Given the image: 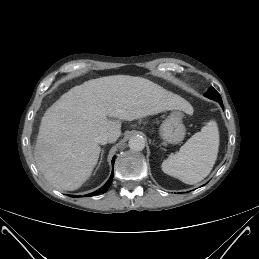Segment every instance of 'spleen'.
<instances>
[{
    "label": "spleen",
    "mask_w": 259,
    "mask_h": 259,
    "mask_svg": "<svg viewBox=\"0 0 259 259\" xmlns=\"http://www.w3.org/2000/svg\"><path fill=\"white\" fill-rule=\"evenodd\" d=\"M219 149V131L216 121H209L180 148L162 162L164 173L186 184L202 181L211 172Z\"/></svg>",
    "instance_id": "3e777b00"
}]
</instances>
